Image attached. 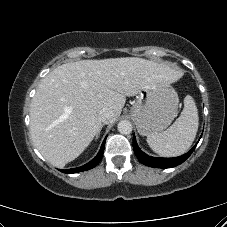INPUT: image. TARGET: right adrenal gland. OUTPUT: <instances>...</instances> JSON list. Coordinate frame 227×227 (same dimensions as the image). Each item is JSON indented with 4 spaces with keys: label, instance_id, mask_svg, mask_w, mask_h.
Masks as SVG:
<instances>
[{
    "label": "right adrenal gland",
    "instance_id": "1",
    "mask_svg": "<svg viewBox=\"0 0 227 227\" xmlns=\"http://www.w3.org/2000/svg\"><path fill=\"white\" fill-rule=\"evenodd\" d=\"M100 131H101V130H100ZM100 131L96 134V139L99 137Z\"/></svg>",
    "mask_w": 227,
    "mask_h": 227
}]
</instances>
